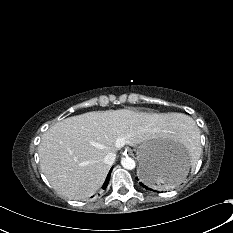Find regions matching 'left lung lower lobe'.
I'll return each instance as SVG.
<instances>
[{
  "instance_id": "0a47b994",
  "label": "left lung lower lobe",
  "mask_w": 233,
  "mask_h": 233,
  "mask_svg": "<svg viewBox=\"0 0 233 233\" xmlns=\"http://www.w3.org/2000/svg\"><path fill=\"white\" fill-rule=\"evenodd\" d=\"M180 159L149 162L140 176V185L147 190L166 189L177 183L181 177ZM139 180L138 178H136ZM153 183V184H151Z\"/></svg>"
}]
</instances>
